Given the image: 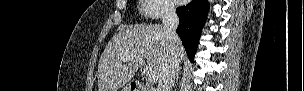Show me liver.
Segmentation results:
<instances>
[{
  "mask_svg": "<svg viewBox=\"0 0 304 91\" xmlns=\"http://www.w3.org/2000/svg\"><path fill=\"white\" fill-rule=\"evenodd\" d=\"M127 56L146 59V72L158 81L170 60L164 26L142 24L120 28L105 47L99 60V91H118L135 77L140 65L133 61L123 62L122 58ZM178 59L179 64L186 60L181 41L178 44Z\"/></svg>",
  "mask_w": 304,
  "mask_h": 91,
  "instance_id": "1",
  "label": "liver"
}]
</instances>
